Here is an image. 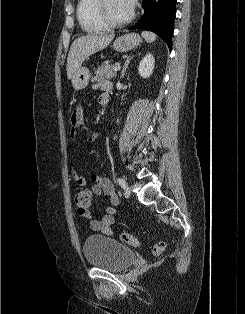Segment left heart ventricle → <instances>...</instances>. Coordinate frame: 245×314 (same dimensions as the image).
<instances>
[{
	"mask_svg": "<svg viewBox=\"0 0 245 314\" xmlns=\"http://www.w3.org/2000/svg\"><path fill=\"white\" fill-rule=\"evenodd\" d=\"M105 13L112 21L125 20L132 12L123 0H106Z\"/></svg>",
	"mask_w": 245,
	"mask_h": 314,
	"instance_id": "1",
	"label": "left heart ventricle"
}]
</instances>
